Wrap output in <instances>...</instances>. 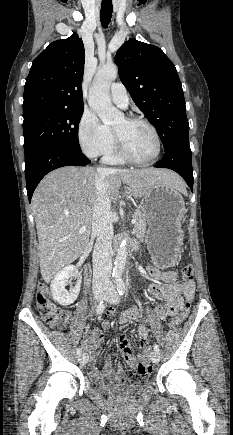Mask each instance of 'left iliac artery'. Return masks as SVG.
I'll return each instance as SVG.
<instances>
[{"instance_id":"1","label":"left iliac artery","mask_w":233,"mask_h":435,"mask_svg":"<svg viewBox=\"0 0 233 435\" xmlns=\"http://www.w3.org/2000/svg\"><path fill=\"white\" fill-rule=\"evenodd\" d=\"M116 283H117V290L119 295H123L125 293L126 287H125V283H124V279L122 277H118L116 279ZM154 350L159 353L160 352V348L157 344L154 345Z\"/></svg>"}]
</instances>
